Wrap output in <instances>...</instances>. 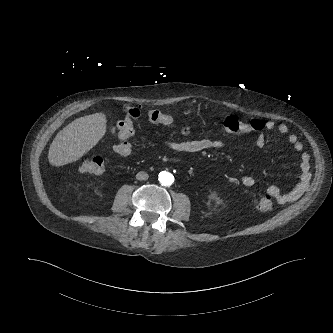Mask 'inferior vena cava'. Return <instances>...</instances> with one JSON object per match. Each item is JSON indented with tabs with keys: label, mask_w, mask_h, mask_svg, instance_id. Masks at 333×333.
Here are the masks:
<instances>
[{
	"label": "inferior vena cava",
	"mask_w": 333,
	"mask_h": 333,
	"mask_svg": "<svg viewBox=\"0 0 333 333\" xmlns=\"http://www.w3.org/2000/svg\"><path fill=\"white\" fill-rule=\"evenodd\" d=\"M148 178H149V175L144 171H140L136 174L137 180L142 181V180H147Z\"/></svg>",
	"instance_id": "obj_1"
}]
</instances>
